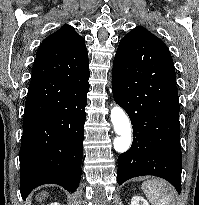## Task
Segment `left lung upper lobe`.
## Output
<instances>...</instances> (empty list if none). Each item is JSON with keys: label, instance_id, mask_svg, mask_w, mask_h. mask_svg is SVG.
<instances>
[{"label": "left lung upper lobe", "instance_id": "5c2ea615", "mask_svg": "<svg viewBox=\"0 0 199 205\" xmlns=\"http://www.w3.org/2000/svg\"><path fill=\"white\" fill-rule=\"evenodd\" d=\"M135 31H141L143 33H145L146 35L150 36L152 39L156 40L159 44H161L162 46H164L167 50V46L165 45V43L160 40L158 37H156L155 35H153L151 32H149L146 28L143 27H136L135 29H133ZM169 51V50H168Z\"/></svg>", "mask_w": 199, "mask_h": 205}]
</instances>
